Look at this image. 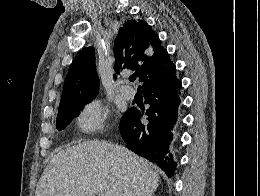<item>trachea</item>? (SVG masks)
Masks as SVG:
<instances>
[{"label": "trachea", "instance_id": "1", "mask_svg": "<svg viewBox=\"0 0 260 196\" xmlns=\"http://www.w3.org/2000/svg\"><path fill=\"white\" fill-rule=\"evenodd\" d=\"M136 80V73H133L129 76V81H135Z\"/></svg>", "mask_w": 260, "mask_h": 196}]
</instances>
